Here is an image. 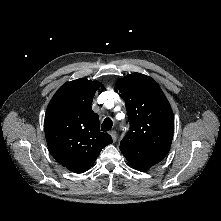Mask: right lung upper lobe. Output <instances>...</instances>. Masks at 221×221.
Instances as JSON below:
<instances>
[{"instance_id":"right-lung-upper-lobe-1","label":"right lung upper lobe","mask_w":221,"mask_h":221,"mask_svg":"<svg viewBox=\"0 0 221 221\" xmlns=\"http://www.w3.org/2000/svg\"><path fill=\"white\" fill-rule=\"evenodd\" d=\"M101 86L87 79L67 82L47 107L44 128L48 148L56 161L75 173L87 171L100 151L112 143L108 133L100 132L99 116L91 107Z\"/></svg>"}]
</instances>
